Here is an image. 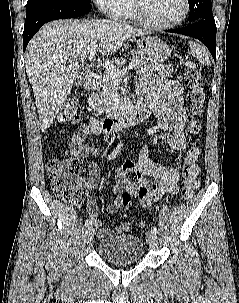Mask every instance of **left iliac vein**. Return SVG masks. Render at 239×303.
<instances>
[{"label":"left iliac vein","mask_w":239,"mask_h":303,"mask_svg":"<svg viewBox=\"0 0 239 303\" xmlns=\"http://www.w3.org/2000/svg\"><path fill=\"white\" fill-rule=\"evenodd\" d=\"M146 240L151 247H156L158 244L157 235L153 232L147 234Z\"/></svg>","instance_id":"obj_1"}]
</instances>
